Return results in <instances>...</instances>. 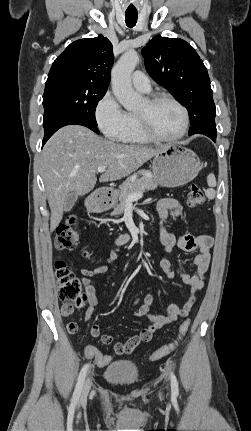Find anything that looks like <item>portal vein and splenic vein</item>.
Returning <instances> with one entry per match:
<instances>
[{
	"mask_svg": "<svg viewBox=\"0 0 251 431\" xmlns=\"http://www.w3.org/2000/svg\"><path fill=\"white\" fill-rule=\"evenodd\" d=\"M106 170V166H100L97 169V172L99 173H103ZM143 194L142 193H134L131 194L127 197V204H131L133 201L138 200L140 198H142Z\"/></svg>",
	"mask_w": 251,
	"mask_h": 431,
	"instance_id": "18ae733b",
	"label": "portal vein and splenic vein"
}]
</instances>
